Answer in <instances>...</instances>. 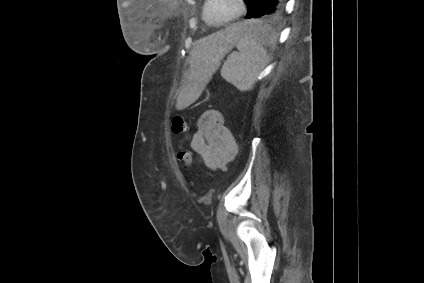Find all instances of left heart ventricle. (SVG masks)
<instances>
[{
  "mask_svg": "<svg viewBox=\"0 0 424 283\" xmlns=\"http://www.w3.org/2000/svg\"><path fill=\"white\" fill-rule=\"evenodd\" d=\"M236 0H212L208 13L212 21L232 16L237 11Z\"/></svg>",
  "mask_w": 424,
  "mask_h": 283,
  "instance_id": "obj_1",
  "label": "left heart ventricle"
}]
</instances>
